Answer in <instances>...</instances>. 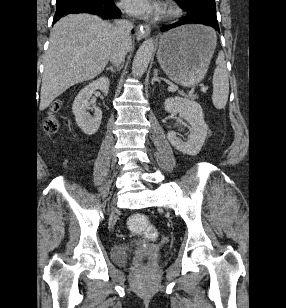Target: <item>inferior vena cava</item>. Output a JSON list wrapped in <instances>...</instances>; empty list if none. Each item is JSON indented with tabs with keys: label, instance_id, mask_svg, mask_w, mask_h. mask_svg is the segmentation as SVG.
I'll list each match as a JSON object with an SVG mask.
<instances>
[{
	"label": "inferior vena cava",
	"instance_id": "inferior-vena-cava-1",
	"mask_svg": "<svg viewBox=\"0 0 286 308\" xmlns=\"http://www.w3.org/2000/svg\"><path fill=\"white\" fill-rule=\"evenodd\" d=\"M114 29L116 39L110 55V61L116 67H120L127 53V42L131 38L130 33L133 29V24L127 20H116Z\"/></svg>",
	"mask_w": 286,
	"mask_h": 308
}]
</instances>
